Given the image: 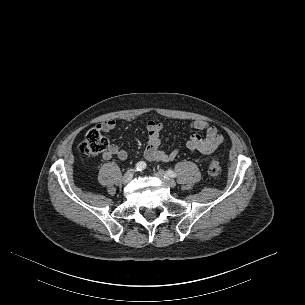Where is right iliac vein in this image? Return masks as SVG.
<instances>
[{
  "mask_svg": "<svg viewBox=\"0 0 305 305\" xmlns=\"http://www.w3.org/2000/svg\"><path fill=\"white\" fill-rule=\"evenodd\" d=\"M133 178V171H128L124 176L122 177V183L127 184L129 183Z\"/></svg>",
  "mask_w": 305,
  "mask_h": 305,
  "instance_id": "right-iliac-vein-1",
  "label": "right iliac vein"
}]
</instances>
